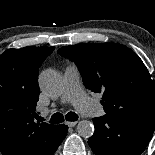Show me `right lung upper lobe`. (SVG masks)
I'll return each mask as SVG.
<instances>
[{
  "label": "right lung upper lobe",
  "mask_w": 155,
  "mask_h": 155,
  "mask_svg": "<svg viewBox=\"0 0 155 155\" xmlns=\"http://www.w3.org/2000/svg\"><path fill=\"white\" fill-rule=\"evenodd\" d=\"M54 47L8 49L0 55V152L50 155L62 127L35 122L39 99L38 69Z\"/></svg>",
  "instance_id": "cb5924a9"
}]
</instances>
